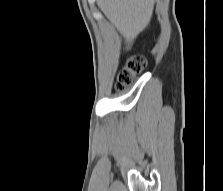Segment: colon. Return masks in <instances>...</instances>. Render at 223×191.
<instances>
[{
    "mask_svg": "<svg viewBox=\"0 0 223 191\" xmlns=\"http://www.w3.org/2000/svg\"><path fill=\"white\" fill-rule=\"evenodd\" d=\"M146 64V59L140 55L131 57L117 74L115 91L122 92L131 87L135 82L136 75L144 70Z\"/></svg>",
    "mask_w": 223,
    "mask_h": 191,
    "instance_id": "5ec220e1",
    "label": "colon"
}]
</instances>
